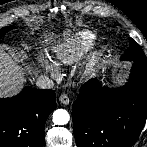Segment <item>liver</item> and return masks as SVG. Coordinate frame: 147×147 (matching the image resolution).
<instances>
[{"instance_id": "liver-1", "label": "liver", "mask_w": 147, "mask_h": 147, "mask_svg": "<svg viewBox=\"0 0 147 147\" xmlns=\"http://www.w3.org/2000/svg\"><path fill=\"white\" fill-rule=\"evenodd\" d=\"M25 83L24 70L0 48V97L18 93Z\"/></svg>"}]
</instances>
